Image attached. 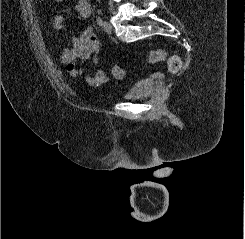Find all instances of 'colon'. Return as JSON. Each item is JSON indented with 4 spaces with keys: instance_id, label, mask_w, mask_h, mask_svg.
Listing matches in <instances>:
<instances>
[{
    "instance_id": "5ec220e1",
    "label": "colon",
    "mask_w": 245,
    "mask_h": 239,
    "mask_svg": "<svg viewBox=\"0 0 245 239\" xmlns=\"http://www.w3.org/2000/svg\"><path fill=\"white\" fill-rule=\"evenodd\" d=\"M164 58V52L160 49H156V50H152L150 51L149 55H148V61L149 63L151 64H155V63H158L160 61H162ZM181 59L178 57V56H170L168 58V61H167V66H168V69L171 73H176L180 70L181 68ZM114 75L116 77H123L124 76V69L123 67L119 66V65H116L114 67Z\"/></svg>"
}]
</instances>
